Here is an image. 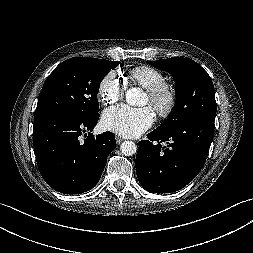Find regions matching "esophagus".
I'll return each mask as SVG.
<instances>
[{
    "label": "esophagus",
    "instance_id": "obj_1",
    "mask_svg": "<svg viewBox=\"0 0 253 253\" xmlns=\"http://www.w3.org/2000/svg\"><path fill=\"white\" fill-rule=\"evenodd\" d=\"M123 141V139L122 138H120V137H116V142H117V144H120L121 142Z\"/></svg>",
    "mask_w": 253,
    "mask_h": 253
}]
</instances>
